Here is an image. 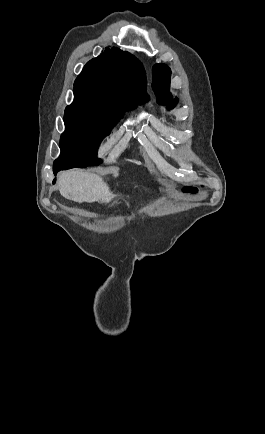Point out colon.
I'll return each mask as SVG.
<instances>
[{
	"label": "colon",
	"instance_id": "colon-1",
	"mask_svg": "<svg viewBox=\"0 0 265 434\" xmlns=\"http://www.w3.org/2000/svg\"><path fill=\"white\" fill-rule=\"evenodd\" d=\"M181 190L182 193H192L190 195V200L192 202H201L203 200V195L201 193H197V184H182Z\"/></svg>",
	"mask_w": 265,
	"mask_h": 434
}]
</instances>
